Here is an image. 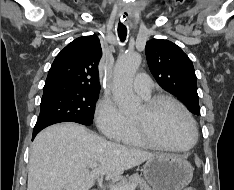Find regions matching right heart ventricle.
<instances>
[{
    "label": "right heart ventricle",
    "mask_w": 234,
    "mask_h": 190,
    "mask_svg": "<svg viewBox=\"0 0 234 190\" xmlns=\"http://www.w3.org/2000/svg\"><path fill=\"white\" fill-rule=\"evenodd\" d=\"M122 143L135 147H148L149 144L145 142L139 135L135 126L134 120H129V124L121 138L119 139Z\"/></svg>",
    "instance_id": "e07e8e85"
}]
</instances>
